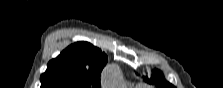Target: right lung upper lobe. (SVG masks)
Returning a JSON list of instances; mask_svg holds the SVG:
<instances>
[{"instance_id": "obj_1", "label": "right lung upper lobe", "mask_w": 223, "mask_h": 88, "mask_svg": "<svg viewBox=\"0 0 223 88\" xmlns=\"http://www.w3.org/2000/svg\"><path fill=\"white\" fill-rule=\"evenodd\" d=\"M107 56L88 42L70 45L48 63L41 88H101L100 73Z\"/></svg>"}]
</instances>
